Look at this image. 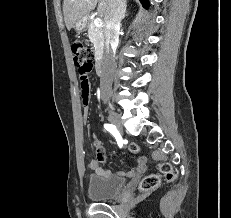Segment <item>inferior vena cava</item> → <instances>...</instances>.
<instances>
[{
	"instance_id": "602c4592",
	"label": "inferior vena cava",
	"mask_w": 231,
	"mask_h": 218,
	"mask_svg": "<svg viewBox=\"0 0 231 218\" xmlns=\"http://www.w3.org/2000/svg\"><path fill=\"white\" fill-rule=\"evenodd\" d=\"M126 0H110V9L105 17V49L100 77L101 95L106 99L112 89L115 64V48L118 44L121 20L125 13Z\"/></svg>"
}]
</instances>
